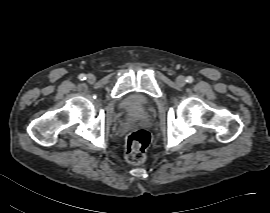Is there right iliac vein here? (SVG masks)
<instances>
[{"label":"right iliac vein","instance_id":"1","mask_svg":"<svg viewBox=\"0 0 270 213\" xmlns=\"http://www.w3.org/2000/svg\"><path fill=\"white\" fill-rule=\"evenodd\" d=\"M95 80H96V78H95V76L93 74H88L87 75V81H88V83L92 84V83L95 82Z\"/></svg>","mask_w":270,"mask_h":213}]
</instances>
